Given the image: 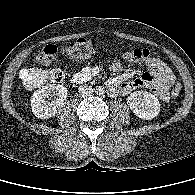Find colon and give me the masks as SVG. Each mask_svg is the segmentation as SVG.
<instances>
[{"label":"colon","instance_id":"colon-1","mask_svg":"<svg viewBox=\"0 0 195 195\" xmlns=\"http://www.w3.org/2000/svg\"><path fill=\"white\" fill-rule=\"evenodd\" d=\"M62 50L68 56L76 59H89L94 54V48L91 42L85 38H79ZM58 51L59 47L55 44L45 45L36 57L35 65L26 67L21 71V79L26 88L34 89L42 85L60 83L63 81L64 73L62 70H45L41 68V66L47 65ZM151 57L150 51L145 48L131 49L123 54V58L132 63H147ZM181 92V85L178 83L175 84L171 90L172 98H178Z\"/></svg>","mask_w":195,"mask_h":195}]
</instances>
